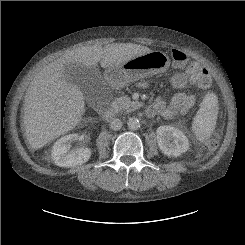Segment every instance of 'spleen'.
Returning <instances> with one entry per match:
<instances>
[{
  "instance_id": "3e777b00",
  "label": "spleen",
  "mask_w": 245,
  "mask_h": 245,
  "mask_svg": "<svg viewBox=\"0 0 245 245\" xmlns=\"http://www.w3.org/2000/svg\"><path fill=\"white\" fill-rule=\"evenodd\" d=\"M218 115V98L214 93L205 95L194 117L192 128L199 141L207 140L215 129Z\"/></svg>"
}]
</instances>
